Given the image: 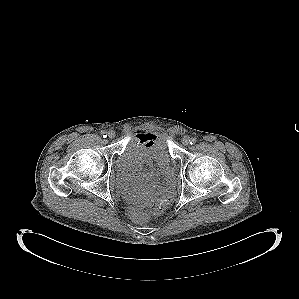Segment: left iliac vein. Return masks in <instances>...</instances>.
I'll list each match as a JSON object with an SVG mask.
<instances>
[{
	"mask_svg": "<svg viewBox=\"0 0 299 299\" xmlns=\"http://www.w3.org/2000/svg\"><path fill=\"white\" fill-rule=\"evenodd\" d=\"M182 143H183L184 145H189V144H190V138H189L188 136H184V137L182 138Z\"/></svg>",
	"mask_w": 299,
	"mask_h": 299,
	"instance_id": "left-iliac-vein-1",
	"label": "left iliac vein"
}]
</instances>
